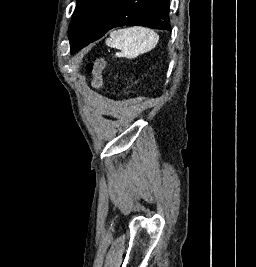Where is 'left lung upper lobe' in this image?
<instances>
[{"mask_svg":"<svg viewBox=\"0 0 256 267\" xmlns=\"http://www.w3.org/2000/svg\"><path fill=\"white\" fill-rule=\"evenodd\" d=\"M124 25L171 30L169 0H77L69 27L71 53Z\"/></svg>","mask_w":256,"mask_h":267,"instance_id":"left-lung-upper-lobe-1","label":"left lung upper lobe"}]
</instances>
